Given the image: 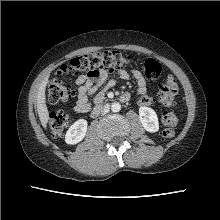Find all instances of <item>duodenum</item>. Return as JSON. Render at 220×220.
<instances>
[{
  "label": "duodenum",
  "instance_id": "duodenum-1",
  "mask_svg": "<svg viewBox=\"0 0 220 220\" xmlns=\"http://www.w3.org/2000/svg\"><path fill=\"white\" fill-rule=\"evenodd\" d=\"M120 100L122 102H128L130 100V97L127 94H123L120 96ZM103 108H104V105L101 104L100 102V104L92 110L91 117H96L97 115H99L102 112Z\"/></svg>",
  "mask_w": 220,
  "mask_h": 220
}]
</instances>
